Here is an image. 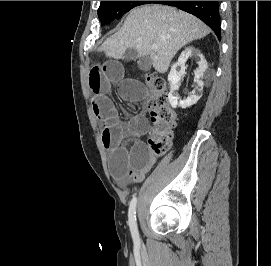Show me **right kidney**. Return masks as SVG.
<instances>
[{
  "label": "right kidney",
  "instance_id": "ca27d5eb",
  "mask_svg": "<svg viewBox=\"0 0 271 266\" xmlns=\"http://www.w3.org/2000/svg\"><path fill=\"white\" fill-rule=\"evenodd\" d=\"M195 54L198 57V68L194 71V82L196 83L195 89L190 93V95L185 100H179L178 95L175 91L178 90L180 86V80L185 73L184 64L187 59ZM181 67L180 70H177L178 67ZM207 69V61L204 56L200 53H197L193 47H187L181 53L178 62L173 65L168 75V82L170 84V92L168 94V100L173 108L181 107L183 109L189 108L202 97V91L204 82L202 81L204 72Z\"/></svg>",
  "mask_w": 271,
  "mask_h": 266
}]
</instances>
